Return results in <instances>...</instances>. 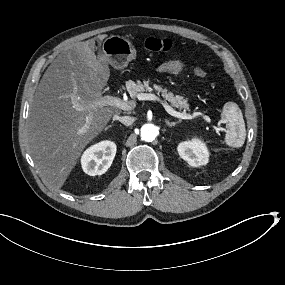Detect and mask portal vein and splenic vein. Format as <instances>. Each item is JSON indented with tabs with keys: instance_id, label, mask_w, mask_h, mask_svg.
<instances>
[{
	"instance_id": "portal-vein-and-splenic-vein-1",
	"label": "portal vein and splenic vein",
	"mask_w": 285,
	"mask_h": 285,
	"mask_svg": "<svg viewBox=\"0 0 285 285\" xmlns=\"http://www.w3.org/2000/svg\"><path fill=\"white\" fill-rule=\"evenodd\" d=\"M137 98L139 100H152L155 98V95L153 94H148V93H140L138 94ZM101 105H113V106H117L123 110H130L131 109V105L128 102H125L117 97L114 96H110L107 95L105 97H103L102 99H98ZM162 104L164 105L165 110L172 116L179 118V119H191L192 117H194L193 115H189V114H185L184 112H178L176 110H174L172 107L168 106L164 101H162ZM94 106L96 107L97 104H94ZM206 121H209L210 118L209 117H205ZM92 121V117H87L85 119V123L82 127V132L85 131L87 128H89L90 124Z\"/></svg>"
}]
</instances>
